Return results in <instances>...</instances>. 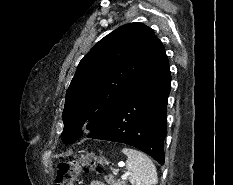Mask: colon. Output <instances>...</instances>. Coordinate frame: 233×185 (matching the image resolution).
I'll return each instance as SVG.
<instances>
[{
    "label": "colon",
    "mask_w": 233,
    "mask_h": 185,
    "mask_svg": "<svg viewBox=\"0 0 233 185\" xmlns=\"http://www.w3.org/2000/svg\"><path fill=\"white\" fill-rule=\"evenodd\" d=\"M84 170L103 173L106 170V162L93 152H86L74 161L61 162L57 167L55 185H74Z\"/></svg>",
    "instance_id": "5ec220e1"
}]
</instances>
